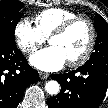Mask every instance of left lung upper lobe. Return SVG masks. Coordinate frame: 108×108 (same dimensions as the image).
I'll list each match as a JSON object with an SVG mask.
<instances>
[{"instance_id": "1", "label": "left lung upper lobe", "mask_w": 108, "mask_h": 108, "mask_svg": "<svg viewBox=\"0 0 108 108\" xmlns=\"http://www.w3.org/2000/svg\"><path fill=\"white\" fill-rule=\"evenodd\" d=\"M94 27L97 31V38L94 48L95 52L86 63L94 60L108 61V23L98 13L95 15ZM74 95L77 94L71 93L68 96H70V98H74Z\"/></svg>"}]
</instances>
